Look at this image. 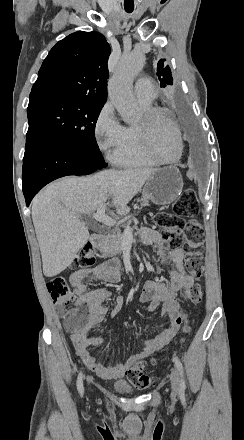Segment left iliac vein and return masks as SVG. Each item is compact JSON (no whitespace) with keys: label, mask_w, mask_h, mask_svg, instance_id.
Instances as JSON below:
<instances>
[{"label":"left iliac vein","mask_w":244,"mask_h":440,"mask_svg":"<svg viewBox=\"0 0 244 440\" xmlns=\"http://www.w3.org/2000/svg\"><path fill=\"white\" fill-rule=\"evenodd\" d=\"M170 386H171V394L173 397H177L179 395V374L176 369L172 368L171 377H170Z\"/></svg>","instance_id":"4c4485c4"}]
</instances>
